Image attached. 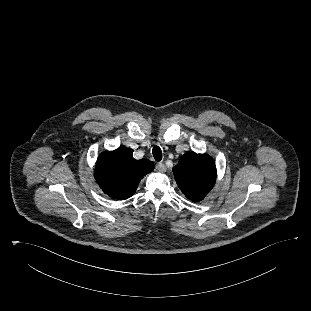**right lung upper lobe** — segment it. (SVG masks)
<instances>
[{
  "label": "right lung upper lobe",
  "mask_w": 311,
  "mask_h": 311,
  "mask_svg": "<svg viewBox=\"0 0 311 311\" xmlns=\"http://www.w3.org/2000/svg\"><path fill=\"white\" fill-rule=\"evenodd\" d=\"M154 165L148 159L136 160L133 150L121 147L100 154L94 171L96 183L110 197L124 200L131 197Z\"/></svg>",
  "instance_id": "obj_1"
}]
</instances>
